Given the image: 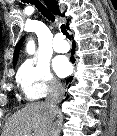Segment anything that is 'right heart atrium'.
Returning a JSON list of instances; mask_svg holds the SVG:
<instances>
[{
  "instance_id": "1",
  "label": "right heart atrium",
  "mask_w": 117,
  "mask_h": 136,
  "mask_svg": "<svg viewBox=\"0 0 117 136\" xmlns=\"http://www.w3.org/2000/svg\"><path fill=\"white\" fill-rule=\"evenodd\" d=\"M17 82L28 101L39 100L62 93L61 83L54 77L45 61H27L19 69Z\"/></svg>"
}]
</instances>
